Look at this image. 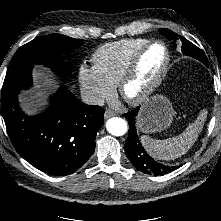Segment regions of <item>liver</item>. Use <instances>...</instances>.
Returning a JSON list of instances; mask_svg holds the SVG:
<instances>
[{
	"instance_id": "6515ba94",
	"label": "liver",
	"mask_w": 221,
	"mask_h": 221,
	"mask_svg": "<svg viewBox=\"0 0 221 221\" xmlns=\"http://www.w3.org/2000/svg\"><path fill=\"white\" fill-rule=\"evenodd\" d=\"M34 77L37 82V88L40 91H29L24 92L20 96V102L23 106V109L27 113H35L37 110L41 109L44 106L45 98L44 92L46 90H51L56 84V80L49 71L37 68L34 71Z\"/></svg>"
}]
</instances>
